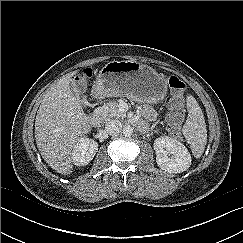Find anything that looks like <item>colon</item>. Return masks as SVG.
Masks as SVG:
<instances>
[{"label": "colon", "mask_w": 243, "mask_h": 243, "mask_svg": "<svg viewBox=\"0 0 243 243\" xmlns=\"http://www.w3.org/2000/svg\"><path fill=\"white\" fill-rule=\"evenodd\" d=\"M92 76V70L87 68L79 76V81H86ZM168 83L173 93L171 100V112L167 116V130L173 137H179L181 135L182 123L184 120V112L182 110V94L185 89L184 82L174 76L168 77Z\"/></svg>", "instance_id": "obj_1"}]
</instances>
